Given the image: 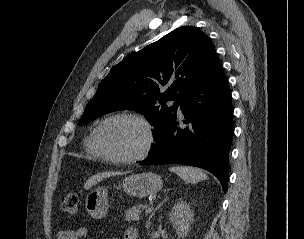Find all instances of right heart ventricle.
<instances>
[{"mask_svg":"<svg viewBox=\"0 0 304 239\" xmlns=\"http://www.w3.org/2000/svg\"><path fill=\"white\" fill-rule=\"evenodd\" d=\"M94 132V131H93ZM93 132L88 136V138L85 141V150L86 153L95 158V159H102L103 157L101 154L96 150L94 143H93Z\"/></svg>","mask_w":304,"mask_h":239,"instance_id":"e07e8e85","label":"right heart ventricle"}]
</instances>
